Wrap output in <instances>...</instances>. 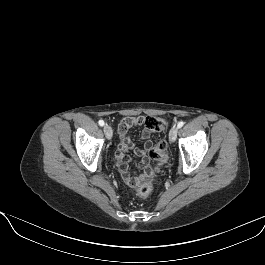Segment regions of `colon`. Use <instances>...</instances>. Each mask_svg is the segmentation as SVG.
<instances>
[{
    "instance_id": "colon-1",
    "label": "colon",
    "mask_w": 265,
    "mask_h": 265,
    "mask_svg": "<svg viewBox=\"0 0 265 265\" xmlns=\"http://www.w3.org/2000/svg\"><path fill=\"white\" fill-rule=\"evenodd\" d=\"M143 126L151 132H164L167 129V123L164 119L159 117H145L142 120ZM169 157L168 143L164 139H160L153 147L148 151V158L152 161L162 163L165 162ZM135 183L134 185H136ZM139 194L146 196L151 191V185L148 182H144L138 185Z\"/></svg>"
}]
</instances>
